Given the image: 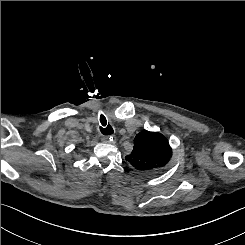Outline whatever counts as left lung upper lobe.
I'll use <instances>...</instances> for the list:
<instances>
[{
    "label": "left lung upper lobe",
    "mask_w": 245,
    "mask_h": 245,
    "mask_svg": "<svg viewBox=\"0 0 245 245\" xmlns=\"http://www.w3.org/2000/svg\"><path fill=\"white\" fill-rule=\"evenodd\" d=\"M171 147L161 133L141 131L134 138V147L125 159L143 173H156L164 170L171 158Z\"/></svg>",
    "instance_id": "left-lung-upper-lobe-1"
}]
</instances>
